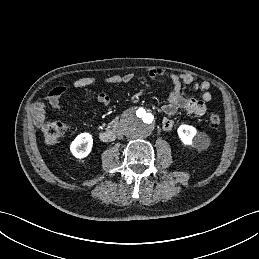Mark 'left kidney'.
Listing matches in <instances>:
<instances>
[{
	"label": "left kidney",
	"mask_w": 259,
	"mask_h": 259,
	"mask_svg": "<svg viewBox=\"0 0 259 259\" xmlns=\"http://www.w3.org/2000/svg\"><path fill=\"white\" fill-rule=\"evenodd\" d=\"M178 136L182 143L187 146H194L201 138L195 127L182 124L177 129Z\"/></svg>",
	"instance_id": "5707ae66"
}]
</instances>
